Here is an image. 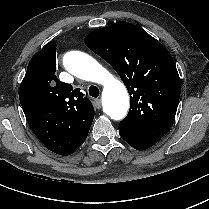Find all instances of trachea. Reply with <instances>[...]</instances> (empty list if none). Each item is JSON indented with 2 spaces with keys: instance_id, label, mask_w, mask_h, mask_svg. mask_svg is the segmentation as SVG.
I'll return each mask as SVG.
<instances>
[{
  "instance_id": "trachea-1",
  "label": "trachea",
  "mask_w": 209,
  "mask_h": 209,
  "mask_svg": "<svg viewBox=\"0 0 209 209\" xmlns=\"http://www.w3.org/2000/svg\"><path fill=\"white\" fill-rule=\"evenodd\" d=\"M89 95L97 98L100 94L98 87L91 85L88 89Z\"/></svg>"
}]
</instances>
